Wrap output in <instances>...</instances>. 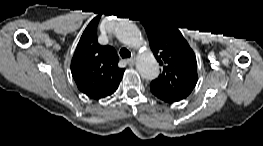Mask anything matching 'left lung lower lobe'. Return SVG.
Returning <instances> with one entry per match:
<instances>
[{"label": "left lung lower lobe", "mask_w": 263, "mask_h": 146, "mask_svg": "<svg viewBox=\"0 0 263 146\" xmlns=\"http://www.w3.org/2000/svg\"><path fill=\"white\" fill-rule=\"evenodd\" d=\"M151 92L152 94H154L157 98L163 100L164 102L167 103H173V102H177V100L173 99L172 97H170L168 94H166L165 92H163L158 86L151 84L150 86Z\"/></svg>", "instance_id": "1"}]
</instances>
